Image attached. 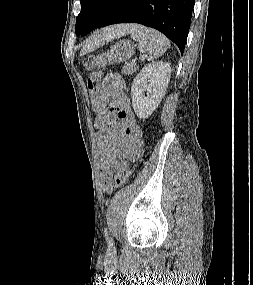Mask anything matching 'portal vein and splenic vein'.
<instances>
[{
  "label": "portal vein and splenic vein",
  "instance_id": "18ae733b",
  "mask_svg": "<svg viewBox=\"0 0 253 285\" xmlns=\"http://www.w3.org/2000/svg\"><path fill=\"white\" fill-rule=\"evenodd\" d=\"M140 59H141V60L144 59V56H141Z\"/></svg>",
  "mask_w": 253,
  "mask_h": 285
}]
</instances>
